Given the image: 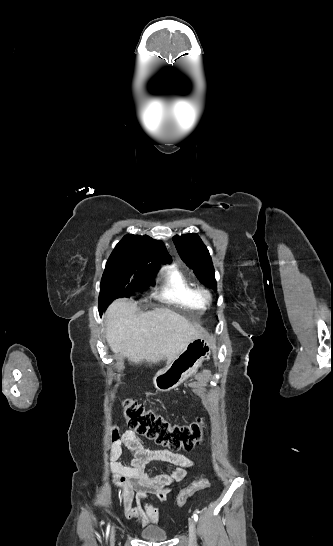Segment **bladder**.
Masks as SVG:
<instances>
[{"instance_id":"bladder-1","label":"bladder","mask_w":333,"mask_h":546,"mask_svg":"<svg viewBox=\"0 0 333 546\" xmlns=\"http://www.w3.org/2000/svg\"><path fill=\"white\" fill-rule=\"evenodd\" d=\"M141 538L152 542H163L167 539V532L159 527L150 526L140 532Z\"/></svg>"}]
</instances>
